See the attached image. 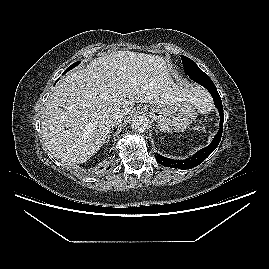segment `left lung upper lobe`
<instances>
[{
	"label": "left lung upper lobe",
	"mask_w": 269,
	"mask_h": 269,
	"mask_svg": "<svg viewBox=\"0 0 269 269\" xmlns=\"http://www.w3.org/2000/svg\"><path fill=\"white\" fill-rule=\"evenodd\" d=\"M182 59V63H183V67H184V72L187 75H193L196 73H200L203 72L197 65L195 62H193L191 59L185 57V56H181Z\"/></svg>",
	"instance_id": "left-lung-upper-lobe-1"
}]
</instances>
